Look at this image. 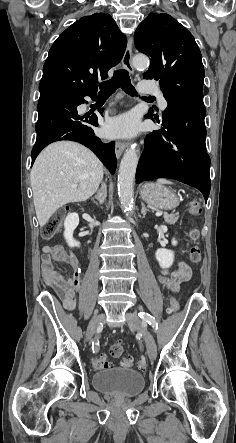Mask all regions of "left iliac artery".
<instances>
[{
    "mask_svg": "<svg viewBox=\"0 0 236 443\" xmlns=\"http://www.w3.org/2000/svg\"><path fill=\"white\" fill-rule=\"evenodd\" d=\"M138 316L142 319L143 322L148 323L154 329V331L158 329V323L156 319L149 313L139 312Z\"/></svg>",
    "mask_w": 236,
    "mask_h": 443,
    "instance_id": "obj_1",
    "label": "left iliac artery"
}]
</instances>
